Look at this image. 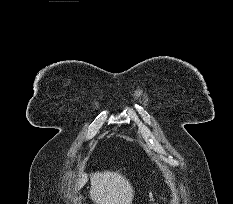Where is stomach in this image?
Masks as SVG:
<instances>
[{"instance_id":"0dacf381","label":"stomach","mask_w":233,"mask_h":204,"mask_svg":"<svg viewBox=\"0 0 233 204\" xmlns=\"http://www.w3.org/2000/svg\"><path fill=\"white\" fill-rule=\"evenodd\" d=\"M150 204H157V203H155L154 201H152V203H150Z\"/></svg>"}]
</instances>
